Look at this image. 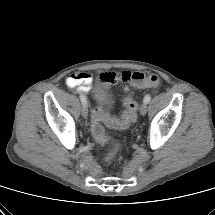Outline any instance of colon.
Wrapping results in <instances>:
<instances>
[{
	"mask_svg": "<svg viewBox=\"0 0 215 215\" xmlns=\"http://www.w3.org/2000/svg\"><path fill=\"white\" fill-rule=\"evenodd\" d=\"M130 83L139 88L154 87L158 85L159 78L155 74H143L141 72L132 73L130 76ZM125 110L119 119H110V123L117 128H127L137 118L138 104L132 95H128L124 99ZM106 118L100 111H95L92 116L91 131L95 140L104 145L110 142V138L105 134L103 127V120ZM117 153V144H114V148L105 156L106 162H111Z\"/></svg>",
	"mask_w": 215,
	"mask_h": 215,
	"instance_id": "1",
	"label": "colon"
}]
</instances>
